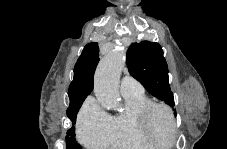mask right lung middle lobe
<instances>
[{"label":"right lung middle lobe","instance_id":"dd1d6c3e","mask_svg":"<svg viewBox=\"0 0 227 149\" xmlns=\"http://www.w3.org/2000/svg\"><path fill=\"white\" fill-rule=\"evenodd\" d=\"M81 105H82V102L75 108H71V109L68 108V110H67V116L72 121L73 124H75V122H76V116H77L78 110L80 109ZM66 148L67 149H81V147L78 145V143L75 140L74 127L70 128L67 131Z\"/></svg>","mask_w":227,"mask_h":149}]
</instances>
